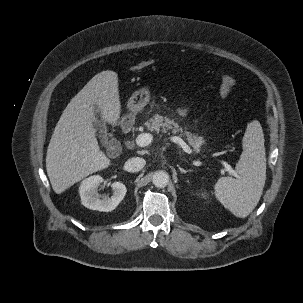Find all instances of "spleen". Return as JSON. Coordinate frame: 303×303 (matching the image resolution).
Segmentation results:
<instances>
[{
  "label": "spleen",
  "mask_w": 303,
  "mask_h": 303,
  "mask_svg": "<svg viewBox=\"0 0 303 303\" xmlns=\"http://www.w3.org/2000/svg\"><path fill=\"white\" fill-rule=\"evenodd\" d=\"M264 134L259 121L247 125L243 152L236 164L239 178L221 177L214 186L216 198L235 216L247 217L257 206L266 181Z\"/></svg>",
  "instance_id": "spleen-1"
}]
</instances>
